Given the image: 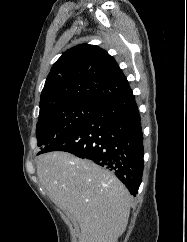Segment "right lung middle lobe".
<instances>
[{"instance_id":"dd1d6c3e","label":"right lung middle lobe","mask_w":187,"mask_h":242,"mask_svg":"<svg viewBox=\"0 0 187 242\" xmlns=\"http://www.w3.org/2000/svg\"><path fill=\"white\" fill-rule=\"evenodd\" d=\"M102 106L76 102L60 105L39 114L36 138L37 145L46 148L55 140L71 132L96 115Z\"/></svg>"}]
</instances>
